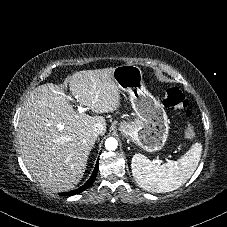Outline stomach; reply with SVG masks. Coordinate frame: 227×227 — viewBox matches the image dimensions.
Here are the masks:
<instances>
[{"instance_id": "obj_1", "label": "stomach", "mask_w": 227, "mask_h": 227, "mask_svg": "<svg viewBox=\"0 0 227 227\" xmlns=\"http://www.w3.org/2000/svg\"><path fill=\"white\" fill-rule=\"evenodd\" d=\"M113 78L118 88L129 94L136 114L134 121L120 123L119 131L147 152L160 151L168 138L169 119L161 103L145 88L141 68L132 64L117 66Z\"/></svg>"}]
</instances>
